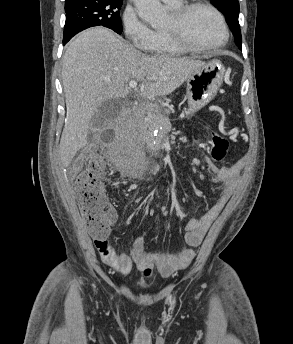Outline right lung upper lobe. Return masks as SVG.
<instances>
[{"label":"right lung upper lobe","instance_id":"obj_1","mask_svg":"<svg viewBox=\"0 0 293 344\" xmlns=\"http://www.w3.org/2000/svg\"><path fill=\"white\" fill-rule=\"evenodd\" d=\"M76 1H79V0H66L65 3L76 2Z\"/></svg>","mask_w":293,"mask_h":344}]
</instances>
